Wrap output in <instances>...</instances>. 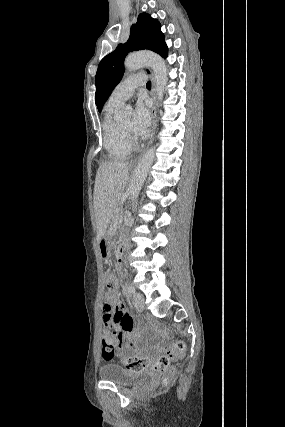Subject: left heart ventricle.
Here are the masks:
<instances>
[{"instance_id":"1","label":"left heart ventricle","mask_w":285,"mask_h":427,"mask_svg":"<svg viewBox=\"0 0 285 427\" xmlns=\"http://www.w3.org/2000/svg\"><path fill=\"white\" fill-rule=\"evenodd\" d=\"M121 124L123 125V127L129 131L132 130L133 128V121H132V117H128L126 119H124Z\"/></svg>"}]
</instances>
